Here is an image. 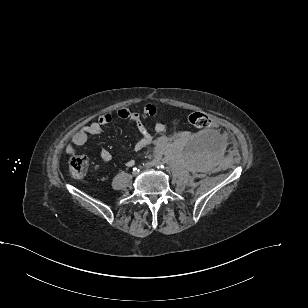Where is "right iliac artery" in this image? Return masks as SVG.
Wrapping results in <instances>:
<instances>
[{
	"label": "right iliac artery",
	"mask_w": 308,
	"mask_h": 308,
	"mask_svg": "<svg viewBox=\"0 0 308 308\" xmlns=\"http://www.w3.org/2000/svg\"><path fill=\"white\" fill-rule=\"evenodd\" d=\"M133 171L139 172V169L137 170V168H133Z\"/></svg>",
	"instance_id": "82829eb1"
}]
</instances>
